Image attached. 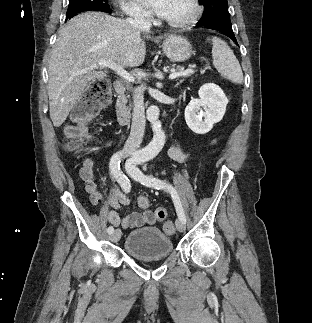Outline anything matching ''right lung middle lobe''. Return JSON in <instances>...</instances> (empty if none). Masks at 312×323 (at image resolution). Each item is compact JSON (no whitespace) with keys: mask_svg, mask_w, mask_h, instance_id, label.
I'll use <instances>...</instances> for the list:
<instances>
[{"mask_svg":"<svg viewBox=\"0 0 312 323\" xmlns=\"http://www.w3.org/2000/svg\"><path fill=\"white\" fill-rule=\"evenodd\" d=\"M90 10L109 12L108 0H69L66 19Z\"/></svg>","mask_w":312,"mask_h":323,"instance_id":"right-lung-middle-lobe-1","label":"right lung middle lobe"}]
</instances>
